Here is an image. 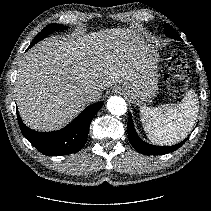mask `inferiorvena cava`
<instances>
[{"label":"inferior vena cava","instance_id":"obj_1","mask_svg":"<svg viewBox=\"0 0 211 211\" xmlns=\"http://www.w3.org/2000/svg\"><path fill=\"white\" fill-rule=\"evenodd\" d=\"M99 98L100 96L95 91L92 90L86 91L84 95V100L86 103L96 102Z\"/></svg>","mask_w":211,"mask_h":211}]
</instances>
